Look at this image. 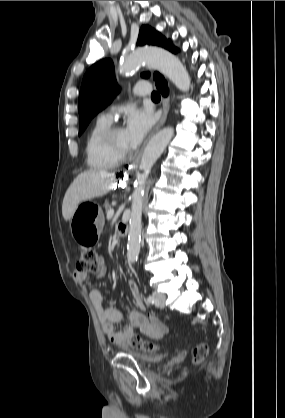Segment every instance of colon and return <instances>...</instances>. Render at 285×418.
I'll use <instances>...</instances> for the list:
<instances>
[{"instance_id": "colon-1", "label": "colon", "mask_w": 285, "mask_h": 418, "mask_svg": "<svg viewBox=\"0 0 285 418\" xmlns=\"http://www.w3.org/2000/svg\"><path fill=\"white\" fill-rule=\"evenodd\" d=\"M98 256L96 251L92 249H83L78 262V271L81 273H90L97 270ZM130 345L144 352H155L159 347L149 342L139 335H132L129 340ZM208 345L206 343L198 344L193 350L192 362L194 364L201 363L208 355Z\"/></svg>"}]
</instances>
